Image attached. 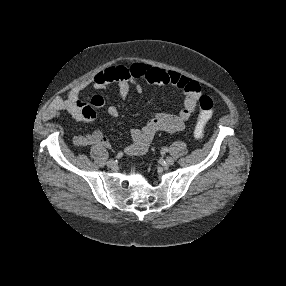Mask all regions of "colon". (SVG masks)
Instances as JSON below:
<instances>
[{
	"mask_svg": "<svg viewBox=\"0 0 286 286\" xmlns=\"http://www.w3.org/2000/svg\"><path fill=\"white\" fill-rule=\"evenodd\" d=\"M198 103L200 114L194 128V136L196 138H202L204 136L205 126L213 115V101L208 95L201 94L198 98Z\"/></svg>",
	"mask_w": 286,
	"mask_h": 286,
	"instance_id": "1",
	"label": "colon"
}]
</instances>
